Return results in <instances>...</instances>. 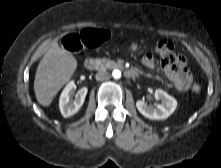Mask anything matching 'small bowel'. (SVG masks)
Returning a JSON list of instances; mask_svg holds the SVG:
<instances>
[{
    "mask_svg": "<svg viewBox=\"0 0 221 168\" xmlns=\"http://www.w3.org/2000/svg\"><path fill=\"white\" fill-rule=\"evenodd\" d=\"M162 56V69L171 81V87L178 91H186L192 85V77L187 67L186 59L178 53H171ZM142 63L149 69L154 68V57L151 53H146L142 58Z\"/></svg>",
    "mask_w": 221,
    "mask_h": 168,
    "instance_id": "1",
    "label": "small bowel"
}]
</instances>
